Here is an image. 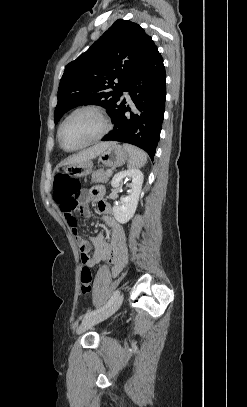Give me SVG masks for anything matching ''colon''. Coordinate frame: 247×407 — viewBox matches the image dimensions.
I'll return each instance as SVG.
<instances>
[{
	"label": "colon",
	"mask_w": 247,
	"mask_h": 407,
	"mask_svg": "<svg viewBox=\"0 0 247 407\" xmlns=\"http://www.w3.org/2000/svg\"><path fill=\"white\" fill-rule=\"evenodd\" d=\"M53 198L57 203L65 202L68 199H73L81 189L80 182L70 177L67 174H58L53 182ZM81 291L83 294H88L91 290L93 274L88 266H84L80 274Z\"/></svg>",
	"instance_id": "colon-1"
}]
</instances>
